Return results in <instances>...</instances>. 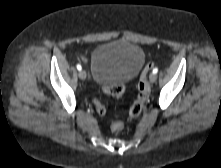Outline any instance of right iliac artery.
<instances>
[{"mask_svg":"<svg viewBox=\"0 0 221 168\" xmlns=\"http://www.w3.org/2000/svg\"><path fill=\"white\" fill-rule=\"evenodd\" d=\"M77 69L80 71L82 69L80 64H77Z\"/></svg>","mask_w":221,"mask_h":168,"instance_id":"right-iliac-artery-1","label":"right iliac artery"}]
</instances>
